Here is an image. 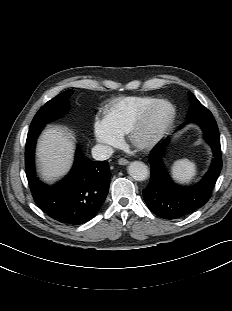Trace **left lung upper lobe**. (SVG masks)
I'll list each match as a JSON object with an SVG mask.
<instances>
[{"label": "left lung upper lobe", "instance_id": "1", "mask_svg": "<svg viewBox=\"0 0 232 311\" xmlns=\"http://www.w3.org/2000/svg\"><path fill=\"white\" fill-rule=\"evenodd\" d=\"M189 98L191 101V105L189 108V112L187 114V118L199 116V115H206L211 113L206 107H204L197 98L189 92Z\"/></svg>", "mask_w": 232, "mask_h": 311}]
</instances>
